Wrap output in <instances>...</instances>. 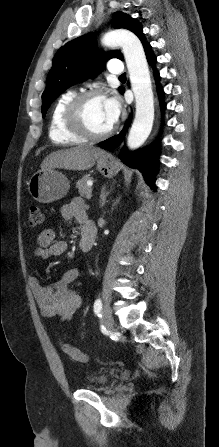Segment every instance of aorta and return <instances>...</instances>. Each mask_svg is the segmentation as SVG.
<instances>
[{
	"instance_id": "aorta-1",
	"label": "aorta",
	"mask_w": 219,
	"mask_h": 447,
	"mask_svg": "<svg viewBox=\"0 0 219 447\" xmlns=\"http://www.w3.org/2000/svg\"><path fill=\"white\" fill-rule=\"evenodd\" d=\"M102 42L108 47H122L136 101L135 118L127 144L130 149H137L150 135L154 120V96L144 49L138 37L124 29L106 33Z\"/></svg>"
}]
</instances>
